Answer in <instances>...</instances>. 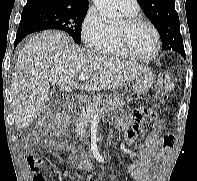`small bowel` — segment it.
I'll use <instances>...</instances> for the list:
<instances>
[{
    "label": "small bowel",
    "instance_id": "small-bowel-1",
    "mask_svg": "<svg viewBox=\"0 0 197 181\" xmlns=\"http://www.w3.org/2000/svg\"><path fill=\"white\" fill-rule=\"evenodd\" d=\"M147 116L151 118V132L139 149L136 159L127 168L128 174L135 181H158L160 179L162 161L172 147V137L161 134L162 122L156 118V113L145 107L135 110L131 117L118 119L117 128L125 132L126 142L129 144L133 143ZM36 137V134H32L30 139L34 140ZM45 146L49 149H60L66 152L73 151V147L70 144L57 142L53 139H47ZM29 163L32 170L38 173L34 181H48L44 175L40 174V171L46 167V164L38 154L29 153ZM74 163L81 170L94 169V164L87 153H81L75 157ZM111 179L113 180L114 178L112 177Z\"/></svg>",
    "mask_w": 197,
    "mask_h": 181
}]
</instances>
